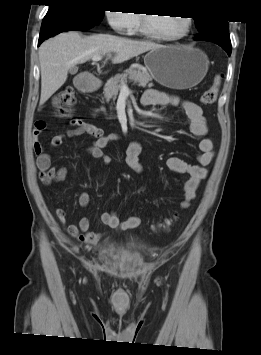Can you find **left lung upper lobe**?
Masks as SVG:
<instances>
[{"label":"left lung upper lobe","instance_id":"obj_1","mask_svg":"<svg viewBox=\"0 0 261 355\" xmlns=\"http://www.w3.org/2000/svg\"><path fill=\"white\" fill-rule=\"evenodd\" d=\"M194 20L200 32V34L195 37V40H209L218 45L231 48L228 21L203 18H194Z\"/></svg>","mask_w":261,"mask_h":355}]
</instances>
